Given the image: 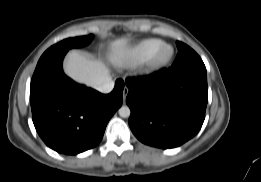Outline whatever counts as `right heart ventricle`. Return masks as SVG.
<instances>
[{
    "label": "right heart ventricle",
    "instance_id": "e07e8e85",
    "mask_svg": "<svg viewBox=\"0 0 261 182\" xmlns=\"http://www.w3.org/2000/svg\"><path fill=\"white\" fill-rule=\"evenodd\" d=\"M163 45H165V43L160 39H144L131 47L126 57L128 61L133 64H141L150 60Z\"/></svg>",
    "mask_w": 261,
    "mask_h": 182
}]
</instances>
